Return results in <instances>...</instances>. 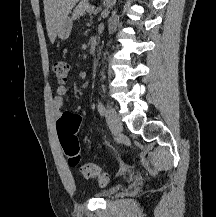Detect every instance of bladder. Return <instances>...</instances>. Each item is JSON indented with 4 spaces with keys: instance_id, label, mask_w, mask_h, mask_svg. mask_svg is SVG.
Returning a JSON list of instances; mask_svg holds the SVG:
<instances>
[{
    "instance_id": "1",
    "label": "bladder",
    "mask_w": 216,
    "mask_h": 217,
    "mask_svg": "<svg viewBox=\"0 0 216 217\" xmlns=\"http://www.w3.org/2000/svg\"><path fill=\"white\" fill-rule=\"evenodd\" d=\"M122 189H123L122 184L114 185L97 193V196L103 199H108L118 194Z\"/></svg>"
}]
</instances>
